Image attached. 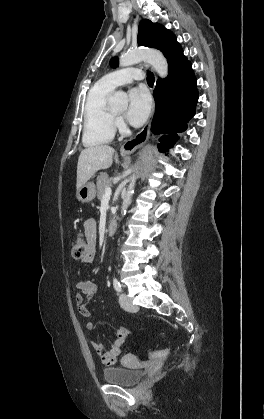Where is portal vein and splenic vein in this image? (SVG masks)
<instances>
[{
    "mask_svg": "<svg viewBox=\"0 0 264 419\" xmlns=\"http://www.w3.org/2000/svg\"><path fill=\"white\" fill-rule=\"evenodd\" d=\"M111 194H112V189L110 187L106 188L103 198H110Z\"/></svg>",
    "mask_w": 264,
    "mask_h": 419,
    "instance_id": "18ae733b",
    "label": "portal vein and splenic vein"
}]
</instances>
